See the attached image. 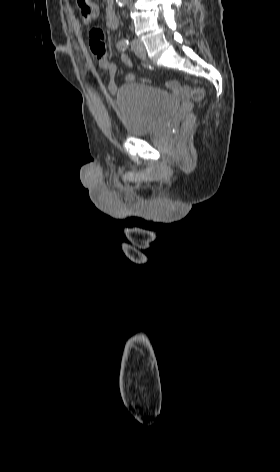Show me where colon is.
Segmentation results:
<instances>
[{
	"mask_svg": "<svg viewBox=\"0 0 280 472\" xmlns=\"http://www.w3.org/2000/svg\"><path fill=\"white\" fill-rule=\"evenodd\" d=\"M77 5L80 10V15L82 21L86 24L91 23L97 16V7L92 2V0H77ZM144 82H150L148 79H141ZM191 97L195 101H202L205 97V90L199 85L187 86ZM195 117L193 114H190L186 117L183 123V132H187L191 125L193 124Z\"/></svg>",
	"mask_w": 280,
	"mask_h": 472,
	"instance_id": "colon-1",
	"label": "colon"
}]
</instances>
